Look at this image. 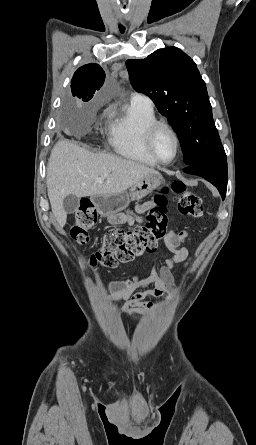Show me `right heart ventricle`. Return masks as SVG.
<instances>
[{
	"label": "right heart ventricle",
	"mask_w": 256,
	"mask_h": 445,
	"mask_svg": "<svg viewBox=\"0 0 256 445\" xmlns=\"http://www.w3.org/2000/svg\"><path fill=\"white\" fill-rule=\"evenodd\" d=\"M157 121L153 106L132 103L108 121V139L119 155L147 165L156 163L145 147V132Z\"/></svg>",
	"instance_id": "e07e8e85"
}]
</instances>
